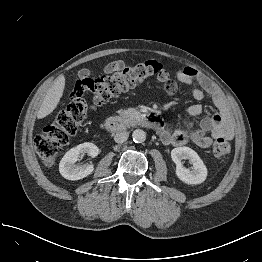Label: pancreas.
Segmentation results:
<instances>
[{"mask_svg":"<svg viewBox=\"0 0 262 262\" xmlns=\"http://www.w3.org/2000/svg\"><path fill=\"white\" fill-rule=\"evenodd\" d=\"M121 118L132 120L139 117V113L135 111L134 109L130 108L127 110H120L118 111Z\"/></svg>","mask_w":262,"mask_h":262,"instance_id":"1","label":"pancreas"}]
</instances>
